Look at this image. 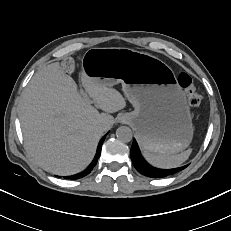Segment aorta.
<instances>
[{"label": "aorta", "mask_w": 231, "mask_h": 231, "mask_svg": "<svg viewBox=\"0 0 231 231\" xmlns=\"http://www.w3.org/2000/svg\"><path fill=\"white\" fill-rule=\"evenodd\" d=\"M116 136L118 140L122 142H130L132 140L133 134L129 127L121 126L116 130Z\"/></svg>", "instance_id": "762f6f07"}]
</instances>
